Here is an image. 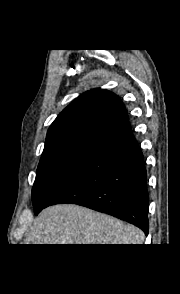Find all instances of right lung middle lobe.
Instances as JSON below:
<instances>
[{
  "mask_svg": "<svg viewBox=\"0 0 180 294\" xmlns=\"http://www.w3.org/2000/svg\"><path fill=\"white\" fill-rule=\"evenodd\" d=\"M100 142L74 140L44 149L32 189L35 211L41 209Z\"/></svg>",
  "mask_w": 180,
  "mask_h": 294,
  "instance_id": "right-lung-middle-lobe-1",
  "label": "right lung middle lobe"
}]
</instances>
